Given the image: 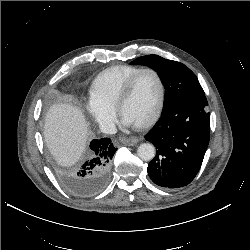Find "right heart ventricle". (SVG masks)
I'll return each instance as SVG.
<instances>
[{
    "instance_id": "obj_1",
    "label": "right heart ventricle",
    "mask_w": 250,
    "mask_h": 250,
    "mask_svg": "<svg viewBox=\"0 0 250 250\" xmlns=\"http://www.w3.org/2000/svg\"><path fill=\"white\" fill-rule=\"evenodd\" d=\"M140 69L139 66L119 65L102 71L91 84L90 99L113 110L122 87Z\"/></svg>"
}]
</instances>
